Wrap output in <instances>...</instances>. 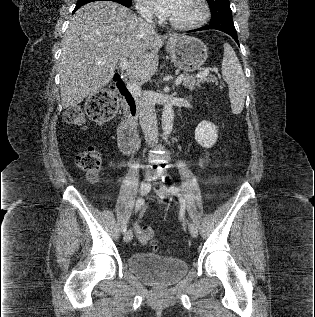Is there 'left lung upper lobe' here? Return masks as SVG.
<instances>
[{"instance_id":"obj_1","label":"left lung upper lobe","mask_w":315,"mask_h":317,"mask_svg":"<svg viewBox=\"0 0 315 317\" xmlns=\"http://www.w3.org/2000/svg\"><path fill=\"white\" fill-rule=\"evenodd\" d=\"M211 9L210 24L214 26L234 25L229 0H207Z\"/></svg>"}]
</instances>
